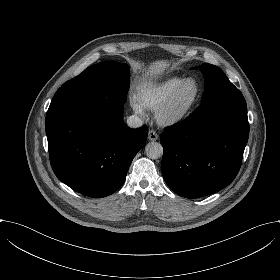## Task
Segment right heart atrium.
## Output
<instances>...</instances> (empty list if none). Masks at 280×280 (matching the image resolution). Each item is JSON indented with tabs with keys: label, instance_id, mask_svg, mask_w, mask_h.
<instances>
[{
	"label": "right heart atrium",
	"instance_id": "d8ad5b80",
	"mask_svg": "<svg viewBox=\"0 0 280 280\" xmlns=\"http://www.w3.org/2000/svg\"><path fill=\"white\" fill-rule=\"evenodd\" d=\"M132 106L135 109V111H137L138 113H142V108H141V106L138 103L133 102Z\"/></svg>",
	"mask_w": 280,
	"mask_h": 280
}]
</instances>
